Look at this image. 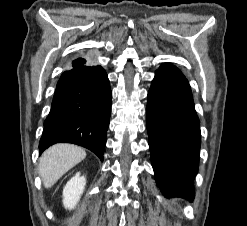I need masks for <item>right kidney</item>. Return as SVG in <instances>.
I'll list each match as a JSON object with an SVG mask.
<instances>
[{
	"label": "right kidney",
	"instance_id": "ca27d5eb",
	"mask_svg": "<svg viewBox=\"0 0 247 226\" xmlns=\"http://www.w3.org/2000/svg\"><path fill=\"white\" fill-rule=\"evenodd\" d=\"M86 179L77 173L72 177L63 189V205L66 209H74L84 191Z\"/></svg>",
	"mask_w": 247,
	"mask_h": 226
}]
</instances>
